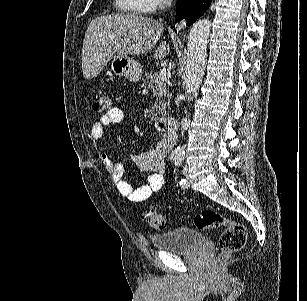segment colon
<instances>
[{
	"instance_id": "5ec220e1",
	"label": "colon",
	"mask_w": 307,
	"mask_h": 301,
	"mask_svg": "<svg viewBox=\"0 0 307 301\" xmlns=\"http://www.w3.org/2000/svg\"><path fill=\"white\" fill-rule=\"evenodd\" d=\"M111 108L112 101L107 93L100 94L93 103V109L99 113H106ZM145 220L150 227L156 230H163L167 226L165 217L154 209H150L146 212ZM194 224L200 230H211L220 227L225 228L219 237V261L241 250L246 243L247 230L245 226L221 215L215 210L206 209L197 214L194 218Z\"/></svg>"
}]
</instances>
